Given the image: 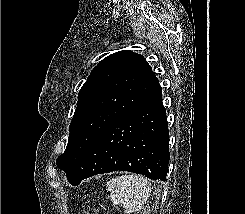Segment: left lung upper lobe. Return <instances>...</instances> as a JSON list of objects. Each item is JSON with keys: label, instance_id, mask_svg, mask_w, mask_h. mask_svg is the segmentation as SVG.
Returning a JSON list of instances; mask_svg holds the SVG:
<instances>
[{"label": "left lung upper lobe", "instance_id": "1", "mask_svg": "<svg viewBox=\"0 0 245 214\" xmlns=\"http://www.w3.org/2000/svg\"><path fill=\"white\" fill-rule=\"evenodd\" d=\"M159 87L139 54L124 50L99 62L78 94L68 144L56 161L58 168L68 174L108 126Z\"/></svg>", "mask_w": 245, "mask_h": 214}]
</instances>
